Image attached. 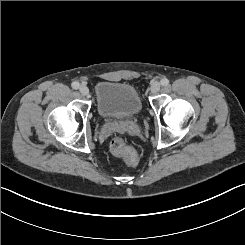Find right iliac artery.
<instances>
[{
	"label": "right iliac artery",
	"mask_w": 245,
	"mask_h": 245,
	"mask_svg": "<svg viewBox=\"0 0 245 245\" xmlns=\"http://www.w3.org/2000/svg\"><path fill=\"white\" fill-rule=\"evenodd\" d=\"M71 86H72L73 89H78L79 86H80V84H79V82L74 81V82L71 84Z\"/></svg>",
	"instance_id": "right-iliac-artery-1"
}]
</instances>
